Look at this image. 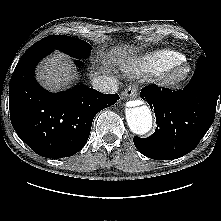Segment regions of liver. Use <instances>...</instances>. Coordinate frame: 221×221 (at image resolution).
I'll return each instance as SVG.
<instances>
[{"label":"liver","mask_w":221,"mask_h":221,"mask_svg":"<svg viewBox=\"0 0 221 221\" xmlns=\"http://www.w3.org/2000/svg\"><path fill=\"white\" fill-rule=\"evenodd\" d=\"M127 51L131 53L133 49L128 50L127 47H117V49H113L112 53L118 58L117 62H119L121 58L127 56ZM112 60L113 62L116 61L115 58H112ZM96 75L95 73L94 76ZM75 78L76 72L72 64L60 52L44 60L37 68V79L44 87L53 92L67 87Z\"/></svg>","instance_id":"liver-1"}]
</instances>
